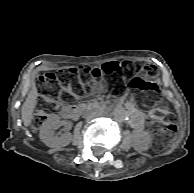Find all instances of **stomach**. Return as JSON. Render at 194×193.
<instances>
[{"mask_svg": "<svg viewBox=\"0 0 194 193\" xmlns=\"http://www.w3.org/2000/svg\"><path fill=\"white\" fill-rule=\"evenodd\" d=\"M95 89H97V90H103L104 89V85H102V84H94V86H93Z\"/></svg>", "mask_w": 194, "mask_h": 193, "instance_id": "0dacf381", "label": "stomach"}]
</instances>
